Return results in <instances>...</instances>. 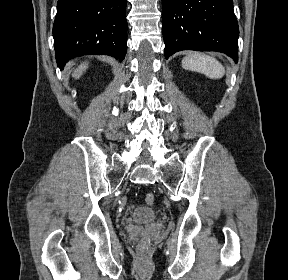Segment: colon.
Masks as SVG:
<instances>
[{
  "label": "colon",
  "mask_w": 288,
  "mask_h": 280,
  "mask_svg": "<svg viewBox=\"0 0 288 280\" xmlns=\"http://www.w3.org/2000/svg\"><path fill=\"white\" fill-rule=\"evenodd\" d=\"M145 202L148 204V205H153L154 202H155V197L152 193H148L146 194L145 196Z\"/></svg>",
  "instance_id": "obj_1"
}]
</instances>
